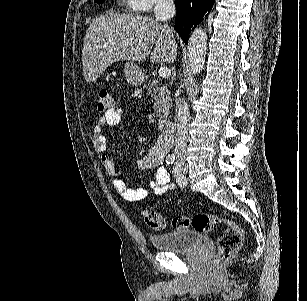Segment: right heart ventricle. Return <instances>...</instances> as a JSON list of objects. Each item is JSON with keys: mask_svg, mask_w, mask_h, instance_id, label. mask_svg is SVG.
I'll return each mask as SVG.
<instances>
[{"mask_svg": "<svg viewBox=\"0 0 307 301\" xmlns=\"http://www.w3.org/2000/svg\"><path fill=\"white\" fill-rule=\"evenodd\" d=\"M126 4H130V8H137V0H125Z\"/></svg>", "mask_w": 307, "mask_h": 301, "instance_id": "obj_1", "label": "right heart ventricle"}]
</instances>
